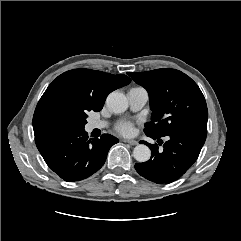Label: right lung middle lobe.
Masks as SVG:
<instances>
[{"label":"right lung middle lobe","mask_w":241,"mask_h":241,"mask_svg":"<svg viewBox=\"0 0 241 241\" xmlns=\"http://www.w3.org/2000/svg\"><path fill=\"white\" fill-rule=\"evenodd\" d=\"M87 116H82L78 118L66 116V115H56L49 119L45 126L46 131H54L67 128H77L83 129Z\"/></svg>","instance_id":"obj_1"}]
</instances>
